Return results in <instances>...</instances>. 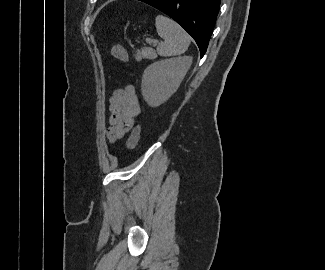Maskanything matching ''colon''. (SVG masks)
<instances>
[{"label":"colon","mask_w":325,"mask_h":270,"mask_svg":"<svg viewBox=\"0 0 325 270\" xmlns=\"http://www.w3.org/2000/svg\"><path fill=\"white\" fill-rule=\"evenodd\" d=\"M111 55H112V57H114L115 59H117L119 61H122V62L129 61L128 53L121 45H114L111 48ZM140 134H141V126L138 124L133 128V130L128 138V141H127L128 148L134 149L137 146L139 139H140Z\"/></svg>","instance_id":"colon-1"}]
</instances>
